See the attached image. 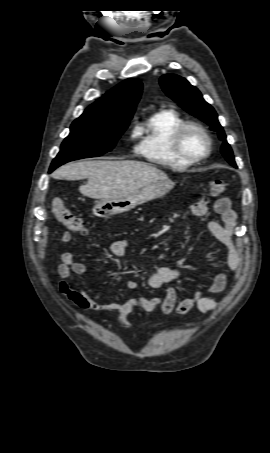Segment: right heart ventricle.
I'll return each instance as SVG.
<instances>
[{"label":"right heart ventricle","instance_id":"e07e8e85","mask_svg":"<svg viewBox=\"0 0 270 453\" xmlns=\"http://www.w3.org/2000/svg\"><path fill=\"white\" fill-rule=\"evenodd\" d=\"M183 123L182 117L172 108L153 113L138 128L140 142L137 152L156 165L178 169L190 167L192 163L177 156L171 143L174 131Z\"/></svg>","mask_w":270,"mask_h":453}]
</instances>
